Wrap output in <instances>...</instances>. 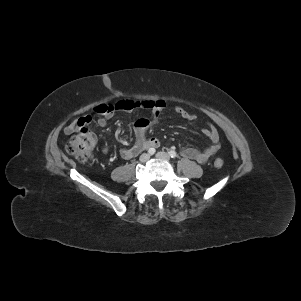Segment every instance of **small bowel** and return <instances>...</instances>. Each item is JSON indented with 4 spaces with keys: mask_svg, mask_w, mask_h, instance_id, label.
Wrapping results in <instances>:
<instances>
[{
    "mask_svg": "<svg viewBox=\"0 0 301 301\" xmlns=\"http://www.w3.org/2000/svg\"><path fill=\"white\" fill-rule=\"evenodd\" d=\"M166 107V103L163 100H119L114 104H103L95 108V112L99 114L97 124L100 127H106L108 121L113 117L116 111L130 112L135 109H148L151 111V118H139L133 123V129L136 135V142L133 146L123 148L120 150V156L123 159H131L135 157L140 151L150 148H158L159 141L156 138L148 137V128L156 123L160 117L161 112ZM175 111L181 117L186 120L192 121L195 116L182 107H176ZM93 121L92 117L87 115L73 120L64 128V133L69 135L80 131ZM202 133L211 142L205 150H198L196 148L187 147L181 151L182 156L194 160L198 163H206L213 155H215L219 149V134L214 127L204 128ZM104 153L108 152V148L103 149Z\"/></svg>",
    "mask_w": 301,
    "mask_h": 301,
    "instance_id": "small-bowel-1",
    "label": "small bowel"
}]
</instances>
